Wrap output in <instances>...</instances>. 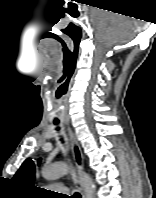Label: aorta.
Here are the masks:
<instances>
[{"label": "aorta", "mask_w": 156, "mask_h": 198, "mask_svg": "<svg viewBox=\"0 0 156 198\" xmlns=\"http://www.w3.org/2000/svg\"><path fill=\"white\" fill-rule=\"evenodd\" d=\"M68 171H69V167L64 163L47 164L42 168V176L46 180H55L67 174ZM79 182L84 189L85 197L94 198L95 185L91 177L86 173H81L79 175Z\"/></svg>", "instance_id": "aorta-1"}]
</instances>
